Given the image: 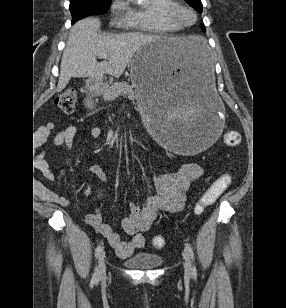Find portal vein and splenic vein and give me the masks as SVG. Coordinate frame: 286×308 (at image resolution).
Here are the masks:
<instances>
[{
    "label": "portal vein and splenic vein",
    "mask_w": 286,
    "mask_h": 308,
    "mask_svg": "<svg viewBox=\"0 0 286 308\" xmlns=\"http://www.w3.org/2000/svg\"><path fill=\"white\" fill-rule=\"evenodd\" d=\"M100 58L102 59H107L108 58V55L106 53H102L99 55Z\"/></svg>",
    "instance_id": "obj_1"
}]
</instances>
